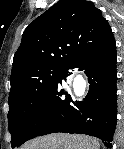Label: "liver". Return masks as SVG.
I'll use <instances>...</instances> for the list:
<instances>
[{"instance_id": "obj_1", "label": "liver", "mask_w": 124, "mask_h": 149, "mask_svg": "<svg viewBox=\"0 0 124 149\" xmlns=\"http://www.w3.org/2000/svg\"><path fill=\"white\" fill-rule=\"evenodd\" d=\"M22 149H99V143L86 136L54 134L36 138Z\"/></svg>"}]
</instances>
